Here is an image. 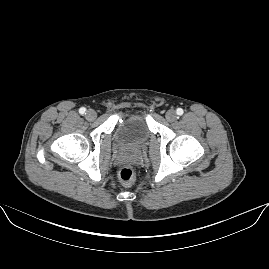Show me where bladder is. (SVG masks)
<instances>
[{
  "mask_svg": "<svg viewBox=\"0 0 269 269\" xmlns=\"http://www.w3.org/2000/svg\"><path fill=\"white\" fill-rule=\"evenodd\" d=\"M148 120L140 112H131L126 119L122 118L116 124V136L120 144L136 152L148 139Z\"/></svg>",
  "mask_w": 269,
  "mask_h": 269,
  "instance_id": "bladder-1",
  "label": "bladder"
}]
</instances>
